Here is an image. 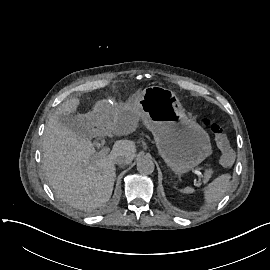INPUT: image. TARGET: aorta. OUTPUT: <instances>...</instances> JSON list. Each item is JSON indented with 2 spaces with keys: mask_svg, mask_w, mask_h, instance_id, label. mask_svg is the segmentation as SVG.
Segmentation results:
<instances>
[{
  "mask_svg": "<svg viewBox=\"0 0 270 270\" xmlns=\"http://www.w3.org/2000/svg\"><path fill=\"white\" fill-rule=\"evenodd\" d=\"M154 163L148 157H140L137 161V170L140 174L148 175L154 171Z\"/></svg>",
  "mask_w": 270,
  "mask_h": 270,
  "instance_id": "762f6f07",
  "label": "aorta"
}]
</instances>
